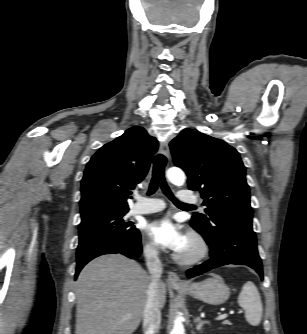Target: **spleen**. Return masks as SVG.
<instances>
[{"mask_svg": "<svg viewBox=\"0 0 307 334\" xmlns=\"http://www.w3.org/2000/svg\"><path fill=\"white\" fill-rule=\"evenodd\" d=\"M238 303L245 310L247 322L252 326L260 324L262 319V302L259 291L253 282L247 281L239 294Z\"/></svg>", "mask_w": 307, "mask_h": 334, "instance_id": "obj_1", "label": "spleen"}]
</instances>
